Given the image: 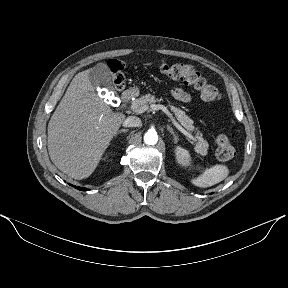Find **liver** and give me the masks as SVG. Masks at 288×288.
Returning a JSON list of instances; mask_svg holds the SVG:
<instances>
[{"label":"liver","instance_id":"liver-1","mask_svg":"<svg viewBox=\"0 0 288 288\" xmlns=\"http://www.w3.org/2000/svg\"><path fill=\"white\" fill-rule=\"evenodd\" d=\"M88 73L75 75L48 124L52 162L77 180L94 172L125 119L99 97Z\"/></svg>","mask_w":288,"mask_h":288}]
</instances>
